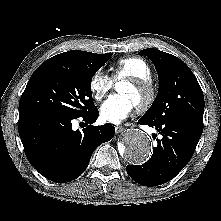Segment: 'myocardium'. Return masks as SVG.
Instances as JSON below:
<instances>
[{
	"instance_id": "f54148a6",
	"label": "myocardium",
	"mask_w": 221,
	"mask_h": 221,
	"mask_svg": "<svg viewBox=\"0 0 221 221\" xmlns=\"http://www.w3.org/2000/svg\"><path fill=\"white\" fill-rule=\"evenodd\" d=\"M126 82L145 93L144 100L136 106L137 110H148L155 102L157 97V90L153 82L150 79L139 78H127Z\"/></svg>"
}]
</instances>
